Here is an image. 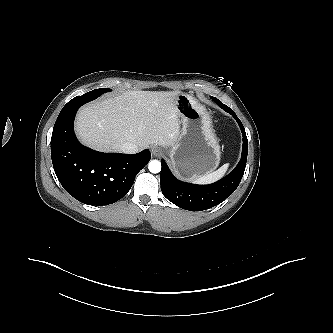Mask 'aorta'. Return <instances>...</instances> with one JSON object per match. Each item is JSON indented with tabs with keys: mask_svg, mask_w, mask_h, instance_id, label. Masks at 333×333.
Listing matches in <instances>:
<instances>
[{
	"mask_svg": "<svg viewBox=\"0 0 333 333\" xmlns=\"http://www.w3.org/2000/svg\"><path fill=\"white\" fill-rule=\"evenodd\" d=\"M151 173H159L161 171V163L158 160H151L148 164Z\"/></svg>",
	"mask_w": 333,
	"mask_h": 333,
	"instance_id": "obj_1",
	"label": "aorta"
}]
</instances>
